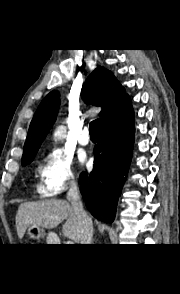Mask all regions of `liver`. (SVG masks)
<instances>
[{
	"mask_svg": "<svg viewBox=\"0 0 180 294\" xmlns=\"http://www.w3.org/2000/svg\"><path fill=\"white\" fill-rule=\"evenodd\" d=\"M64 220L62 233L78 243L80 233L72 205L65 200H42L22 203L17 211L15 223L19 239H22L30 225L55 228Z\"/></svg>",
	"mask_w": 180,
	"mask_h": 294,
	"instance_id": "1",
	"label": "liver"
}]
</instances>
